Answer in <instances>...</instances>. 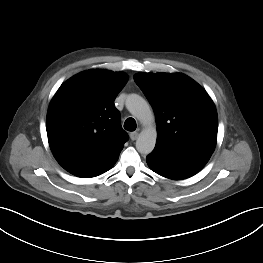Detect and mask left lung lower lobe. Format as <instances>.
Instances as JSON below:
<instances>
[{"label":"left lung lower lobe","mask_w":263,"mask_h":263,"mask_svg":"<svg viewBox=\"0 0 263 263\" xmlns=\"http://www.w3.org/2000/svg\"><path fill=\"white\" fill-rule=\"evenodd\" d=\"M212 154L204 152L170 150L156 146L146 158L149 168L157 174L181 180L199 172Z\"/></svg>","instance_id":"left-lung-lower-lobe-1"}]
</instances>
